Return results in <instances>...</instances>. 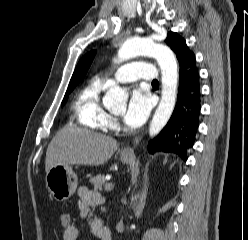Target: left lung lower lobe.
Returning a JSON list of instances; mask_svg holds the SVG:
<instances>
[{"mask_svg":"<svg viewBox=\"0 0 248 240\" xmlns=\"http://www.w3.org/2000/svg\"><path fill=\"white\" fill-rule=\"evenodd\" d=\"M199 73L192 53L179 69V88L174 111L163 130L148 144L149 153L170 152L187 160L195 142L201 110Z\"/></svg>","mask_w":248,"mask_h":240,"instance_id":"obj_1","label":"left lung lower lobe"}]
</instances>
